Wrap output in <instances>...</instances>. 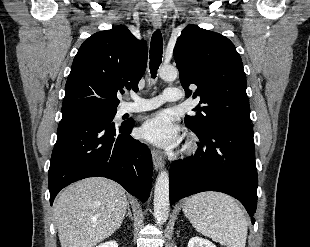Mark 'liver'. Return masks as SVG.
<instances>
[{"label": "liver", "mask_w": 310, "mask_h": 247, "mask_svg": "<svg viewBox=\"0 0 310 247\" xmlns=\"http://www.w3.org/2000/svg\"><path fill=\"white\" fill-rule=\"evenodd\" d=\"M129 203L116 182L91 177L64 189L53 205L61 247H93L121 226Z\"/></svg>", "instance_id": "liver-1"}]
</instances>
